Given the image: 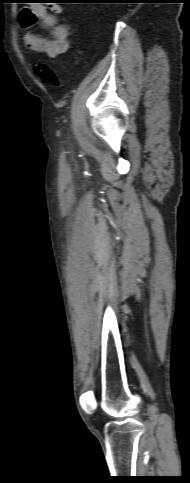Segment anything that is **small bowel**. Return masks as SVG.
<instances>
[{
  "mask_svg": "<svg viewBox=\"0 0 190 483\" xmlns=\"http://www.w3.org/2000/svg\"><path fill=\"white\" fill-rule=\"evenodd\" d=\"M36 3L22 9L19 20L24 27H32L39 22L49 32L50 37L28 32L24 35V46L31 54L41 53L56 59L70 48V28L60 21L59 14L62 12V7L42 4V2Z\"/></svg>",
  "mask_w": 190,
  "mask_h": 483,
  "instance_id": "1",
  "label": "small bowel"
}]
</instances>
